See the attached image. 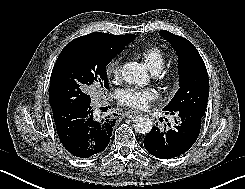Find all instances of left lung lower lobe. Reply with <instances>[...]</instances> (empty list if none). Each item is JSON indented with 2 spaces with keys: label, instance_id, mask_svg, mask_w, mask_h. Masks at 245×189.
Segmentation results:
<instances>
[{
  "label": "left lung lower lobe",
  "instance_id": "left-lung-lower-lobe-1",
  "mask_svg": "<svg viewBox=\"0 0 245 189\" xmlns=\"http://www.w3.org/2000/svg\"><path fill=\"white\" fill-rule=\"evenodd\" d=\"M178 115V121L173 128L160 130L153 126L144 138L145 149L153 156L170 159L188 151L197 140L202 115L193 110L171 112Z\"/></svg>",
  "mask_w": 245,
  "mask_h": 189
}]
</instances>
